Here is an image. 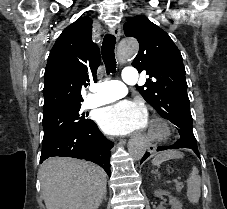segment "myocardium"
Instances as JSON below:
<instances>
[{"label": "myocardium", "instance_id": "f54148a6", "mask_svg": "<svg viewBox=\"0 0 227 209\" xmlns=\"http://www.w3.org/2000/svg\"><path fill=\"white\" fill-rule=\"evenodd\" d=\"M174 131L170 124L161 117H154L146 133V140L155 142V141H169L173 138Z\"/></svg>", "mask_w": 227, "mask_h": 209}]
</instances>
